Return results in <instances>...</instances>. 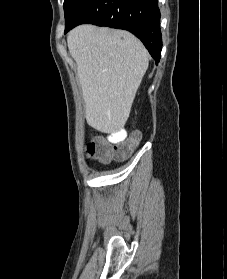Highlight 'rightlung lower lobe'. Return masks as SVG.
Masks as SVG:
<instances>
[{"mask_svg":"<svg viewBox=\"0 0 227 279\" xmlns=\"http://www.w3.org/2000/svg\"><path fill=\"white\" fill-rule=\"evenodd\" d=\"M158 0H85L69 30L79 24L124 29L138 37L158 64L162 37Z\"/></svg>","mask_w":227,"mask_h":279,"instance_id":"98d812e1","label":"right lung lower lobe"}]
</instances>
